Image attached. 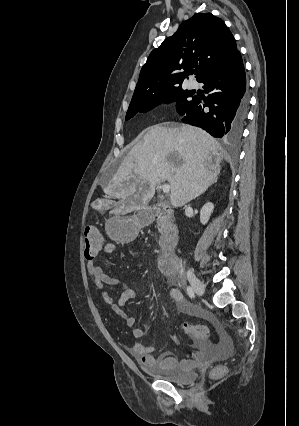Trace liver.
I'll use <instances>...</instances> for the list:
<instances>
[{
  "label": "liver",
  "mask_w": 299,
  "mask_h": 426,
  "mask_svg": "<svg viewBox=\"0 0 299 426\" xmlns=\"http://www.w3.org/2000/svg\"><path fill=\"white\" fill-rule=\"evenodd\" d=\"M226 154L218 142L190 125L148 128L104 187L110 198L99 200L112 214H127L146 206L161 182L171 187L170 202L182 207L217 180Z\"/></svg>",
  "instance_id": "1"
}]
</instances>
